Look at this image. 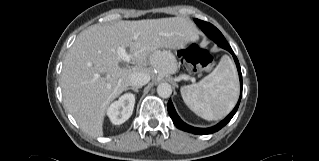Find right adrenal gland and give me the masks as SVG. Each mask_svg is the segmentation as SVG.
Returning <instances> with one entry per match:
<instances>
[{
	"instance_id": "2a0ac1e0",
	"label": "right adrenal gland",
	"mask_w": 319,
	"mask_h": 161,
	"mask_svg": "<svg viewBox=\"0 0 319 161\" xmlns=\"http://www.w3.org/2000/svg\"><path fill=\"white\" fill-rule=\"evenodd\" d=\"M127 89H131V90H133L134 92H138V89H139V87H130V88H127Z\"/></svg>"
}]
</instances>
